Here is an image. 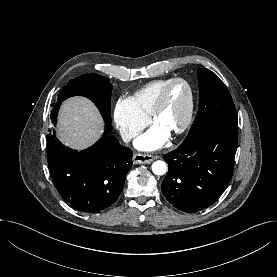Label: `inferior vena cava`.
Returning a JSON list of instances; mask_svg holds the SVG:
<instances>
[{
  "label": "inferior vena cava",
  "instance_id": "obj_1",
  "mask_svg": "<svg viewBox=\"0 0 277 277\" xmlns=\"http://www.w3.org/2000/svg\"><path fill=\"white\" fill-rule=\"evenodd\" d=\"M135 136L134 133L128 130H122L121 131V137L124 142H129L133 137Z\"/></svg>",
  "mask_w": 277,
  "mask_h": 277
}]
</instances>
